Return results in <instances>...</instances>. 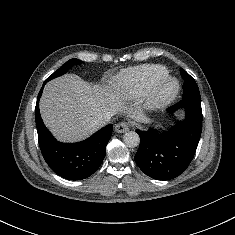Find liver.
Instances as JSON below:
<instances>
[{
    "mask_svg": "<svg viewBox=\"0 0 235 235\" xmlns=\"http://www.w3.org/2000/svg\"><path fill=\"white\" fill-rule=\"evenodd\" d=\"M127 95L118 87L91 85L77 75L68 74L45 85L40 99V113L44 124L61 142L81 141L100 126L96 120L107 112L116 115L127 109ZM136 120L143 115L129 111Z\"/></svg>",
    "mask_w": 235,
    "mask_h": 235,
    "instance_id": "6515ba94",
    "label": "liver"
}]
</instances>
